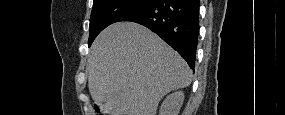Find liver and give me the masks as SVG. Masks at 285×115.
<instances>
[{"instance_id": "obj_1", "label": "liver", "mask_w": 285, "mask_h": 115, "mask_svg": "<svg viewBox=\"0 0 285 115\" xmlns=\"http://www.w3.org/2000/svg\"><path fill=\"white\" fill-rule=\"evenodd\" d=\"M86 70L90 94L104 115H156L167 93L192 81L185 60L133 22L114 23L99 34Z\"/></svg>"}]
</instances>
